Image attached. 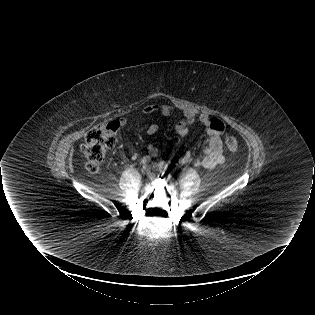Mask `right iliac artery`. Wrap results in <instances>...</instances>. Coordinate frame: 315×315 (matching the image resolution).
Listing matches in <instances>:
<instances>
[{"mask_svg":"<svg viewBox=\"0 0 315 315\" xmlns=\"http://www.w3.org/2000/svg\"><path fill=\"white\" fill-rule=\"evenodd\" d=\"M149 162H150V157L149 156L143 157V159H142V163L143 164H146V163H149Z\"/></svg>","mask_w":315,"mask_h":315,"instance_id":"obj_1","label":"right iliac artery"}]
</instances>
